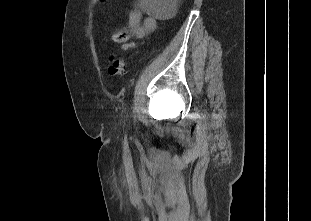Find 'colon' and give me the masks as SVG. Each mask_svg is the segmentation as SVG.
Returning a JSON list of instances; mask_svg holds the SVG:
<instances>
[{
	"label": "colon",
	"instance_id": "1",
	"mask_svg": "<svg viewBox=\"0 0 311 221\" xmlns=\"http://www.w3.org/2000/svg\"><path fill=\"white\" fill-rule=\"evenodd\" d=\"M99 4H106L107 0H98ZM114 39L118 42L127 40L125 31H119L114 34ZM108 73L114 77H124L127 73L126 63L122 58H115L114 55L109 60Z\"/></svg>",
	"mask_w": 311,
	"mask_h": 221
}]
</instances>
